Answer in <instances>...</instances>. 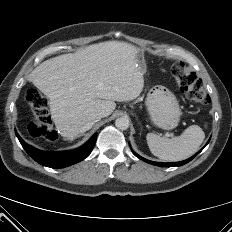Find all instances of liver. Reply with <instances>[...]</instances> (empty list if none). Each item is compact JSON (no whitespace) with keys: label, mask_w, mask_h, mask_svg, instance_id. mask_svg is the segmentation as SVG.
<instances>
[{"label":"liver","mask_w":232,"mask_h":232,"mask_svg":"<svg viewBox=\"0 0 232 232\" xmlns=\"http://www.w3.org/2000/svg\"><path fill=\"white\" fill-rule=\"evenodd\" d=\"M140 58L135 46L108 41L48 59L28 79L49 98L51 118L61 136L73 139L91 114L107 117L115 101L140 95L146 71Z\"/></svg>","instance_id":"liver-1"}]
</instances>
